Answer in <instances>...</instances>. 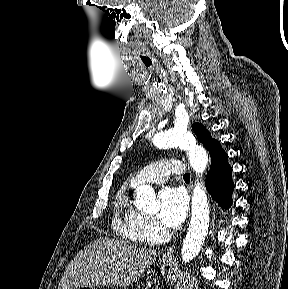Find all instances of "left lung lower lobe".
<instances>
[{"mask_svg":"<svg viewBox=\"0 0 288 289\" xmlns=\"http://www.w3.org/2000/svg\"><path fill=\"white\" fill-rule=\"evenodd\" d=\"M211 157L210 171L207 173L206 188L213 200L223 208L232 204V168L228 164V154L222 149L220 142H215L208 150Z\"/></svg>","mask_w":288,"mask_h":289,"instance_id":"obj_1","label":"left lung lower lobe"}]
</instances>
